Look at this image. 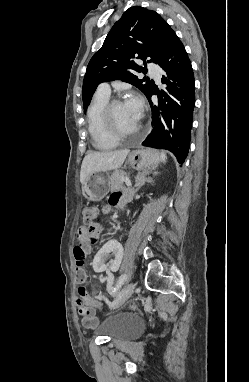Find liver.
I'll use <instances>...</instances> for the list:
<instances>
[{
	"mask_svg": "<svg viewBox=\"0 0 249 382\" xmlns=\"http://www.w3.org/2000/svg\"><path fill=\"white\" fill-rule=\"evenodd\" d=\"M128 154V149L88 153L81 165L80 182L83 184L92 173L118 169L123 165Z\"/></svg>",
	"mask_w": 249,
	"mask_h": 382,
	"instance_id": "1",
	"label": "liver"
}]
</instances>
